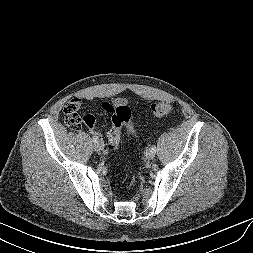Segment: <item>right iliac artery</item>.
Returning <instances> with one entry per match:
<instances>
[{
  "label": "right iliac artery",
  "instance_id": "1",
  "mask_svg": "<svg viewBox=\"0 0 253 253\" xmlns=\"http://www.w3.org/2000/svg\"><path fill=\"white\" fill-rule=\"evenodd\" d=\"M92 141H93L94 143H96V142L98 141V138H97V137H93V138H92Z\"/></svg>",
  "mask_w": 253,
  "mask_h": 253
}]
</instances>
